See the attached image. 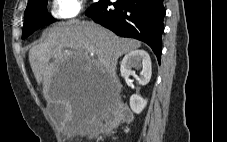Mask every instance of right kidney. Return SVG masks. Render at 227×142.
I'll return each instance as SVG.
<instances>
[{
	"label": "right kidney",
	"instance_id": "obj_1",
	"mask_svg": "<svg viewBox=\"0 0 227 142\" xmlns=\"http://www.w3.org/2000/svg\"><path fill=\"white\" fill-rule=\"evenodd\" d=\"M132 68L141 70L139 76L132 71ZM121 76L126 80L130 76H133L140 85H146L149 83L152 74L151 59L149 54L145 50H134L128 53L121 62ZM147 104V100L143 99L138 94H133L130 97L131 110L140 114Z\"/></svg>",
	"mask_w": 227,
	"mask_h": 142
}]
</instances>
